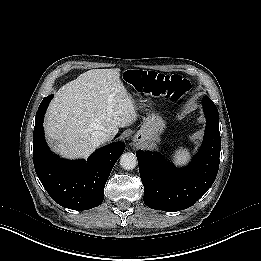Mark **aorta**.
I'll return each mask as SVG.
<instances>
[{"instance_id":"762f6f07","label":"aorta","mask_w":261,"mask_h":261,"mask_svg":"<svg viewBox=\"0 0 261 261\" xmlns=\"http://www.w3.org/2000/svg\"><path fill=\"white\" fill-rule=\"evenodd\" d=\"M138 164L134 153L127 152L120 157V165L124 170H133Z\"/></svg>"}]
</instances>
